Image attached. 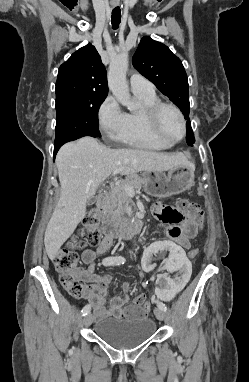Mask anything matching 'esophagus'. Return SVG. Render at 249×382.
Returning a JSON list of instances; mask_svg holds the SVG:
<instances>
[{
	"instance_id": "obj_1",
	"label": "esophagus",
	"mask_w": 249,
	"mask_h": 382,
	"mask_svg": "<svg viewBox=\"0 0 249 382\" xmlns=\"http://www.w3.org/2000/svg\"><path fill=\"white\" fill-rule=\"evenodd\" d=\"M112 6H114V7L117 6V3H112Z\"/></svg>"
}]
</instances>
